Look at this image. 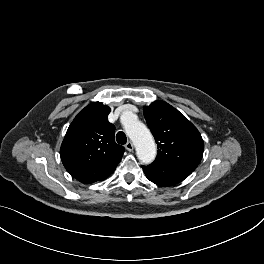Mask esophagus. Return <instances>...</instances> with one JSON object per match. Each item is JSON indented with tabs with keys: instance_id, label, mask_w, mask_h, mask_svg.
Masks as SVG:
<instances>
[{
	"instance_id": "obj_1",
	"label": "esophagus",
	"mask_w": 264,
	"mask_h": 264,
	"mask_svg": "<svg viewBox=\"0 0 264 264\" xmlns=\"http://www.w3.org/2000/svg\"><path fill=\"white\" fill-rule=\"evenodd\" d=\"M125 147L128 151H133V149H134V145L131 141L127 142Z\"/></svg>"
}]
</instances>
